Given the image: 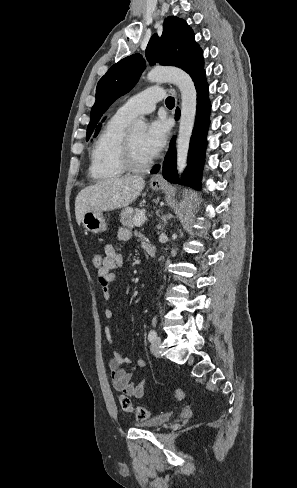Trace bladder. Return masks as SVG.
I'll use <instances>...</instances> for the list:
<instances>
[{
  "label": "bladder",
  "instance_id": "obj_1",
  "mask_svg": "<svg viewBox=\"0 0 297 488\" xmlns=\"http://www.w3.org/2000/svg\"><path fill=\"white\" fill-rule=\"evenodd\" d=\"M171 417H172V413L170 412L162 413L144 422H139L136 424V426L140 428L155 429L163 426L171 419Z\"/></svg>",
  "mask_w": 297,
  "mask_h": 488
}]
</instances>
